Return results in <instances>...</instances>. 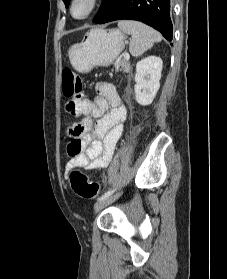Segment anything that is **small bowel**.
I'll return each mask as SVG.
<instances>
[{
	"label": "small bowel",
	"mask_w": 227,
	"mask_h": 279,
	"mask_svg": "<svg viewBox=\"0 0 227 279\" xmlns=\"http://www.w3.org/2000/svg\"><path fill=\"white\" fill-rule=\"evenodd\" d=\"M85 118L70 128L71 143H79L80 151L67 163L66 171L75 167L95 170L107 167L112 160L116 143L121 136L122 124L127 110L116 87L111 83H100L93 99L79 100L75 114ZM96 119V122H93ZM70 143V144H71Z\"/></svg>",
	"instance_id": "c3829d8e"
}]
</instances>
